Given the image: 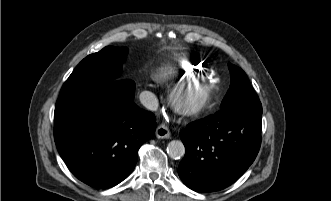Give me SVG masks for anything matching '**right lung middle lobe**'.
Returning a JSON list of instances; mask_svg holds the SVG:
<instances>
[{
    "label": "right lung middle lobe",
    "mask_w": 331,
    "mask_h": 201,
    "mask_svg": "<svg viewBox=\"0 0 331 201\" xmlns=\"http://www.w3.org/2000/svg\"><path fill=\"white\" fill-rule=\"evenodd\" d=\"M127 48L107 46L84 58L64 83L59 99L107 80H119Z\"/></svg>",
    "instance_id": "dd1d6c3e"
}]
</instances>
